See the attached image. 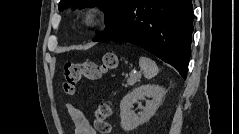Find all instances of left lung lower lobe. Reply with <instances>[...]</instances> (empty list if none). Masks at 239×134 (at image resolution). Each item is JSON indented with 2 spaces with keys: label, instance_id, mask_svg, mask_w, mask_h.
<instances>
[{
  "label": "left lung lower lobe",
  "instance_id": "1",
  "mask_svg": "<svg viewBox=\"0 0 239 134\" xmlns=\"http://www.w3.org/2000/svg\"><path fill=\"white\" fill-rule=\"evenodd\" d=\"M192 11L191 0H129L118 20L93 41L137 45L172 65L186 79Z\"/></svg>",
  "mask_w": 239,
  "mask_h": 134
}]
</instances>
